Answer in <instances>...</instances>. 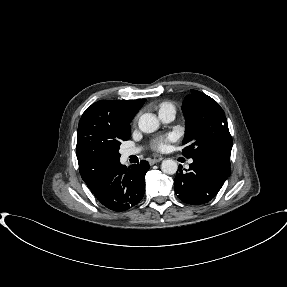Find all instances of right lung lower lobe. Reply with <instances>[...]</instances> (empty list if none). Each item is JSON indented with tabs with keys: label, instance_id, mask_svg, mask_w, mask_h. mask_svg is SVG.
Segmentation results:
<instances>
[{
	"label": "right lung lower lobe",
	"instance_id": "98d812e1",
	"mask_svg": "<svg viewBox=\"0 0 287 287\" xmlns=\"http://www.w3.org/2000/svg\"><path fill=\"white\" fill-rule=\"evenodd\" d=\"M149 168L145 160L130 168L118 162L104 168L89 189L109 210L126 211L143 198L145 174Z\"/></svg>",
	"mask_w": 287,
	"mask_h": 287
}]
</instances>
